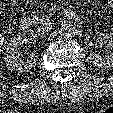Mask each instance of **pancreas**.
<instances>
[{
    "instance_id": "obj_1",
    "label": "pancreas",
    "mask_w": 113,
    "mask_h": 113,
    "mask_svg": "<svg viewBox=\"0 0 113 113\" xmlns=\"http://www.w3.org/2000/svg\"><path fill=\"white\" fill-rule=\"evenodd\" d=\"M32 18L35 24L42 23L49 19V17L47 15L42 14L40 10L34 11Z\"/></svg>"
}]
</instances>
